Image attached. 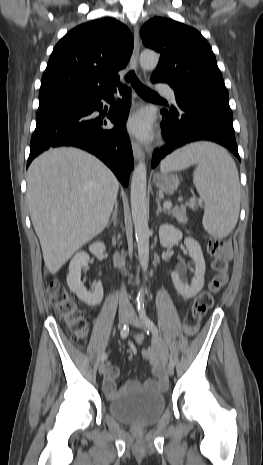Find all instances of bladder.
Returning <instances> with one entry per match:
<instances>
[{"label":"bladder","instance_id":"31cf9c89","mask_svg":"<svg viewBox=\"0 0 263 465\" xmlns=\"http://www.w3.org/2000/svg\"><path fill=\"white\" fill-rule=\"evenodd\" d=\"M166 406L162 393L140 388L124 392L108 403V413L116 421L134 427H149L160 419Z\"/></svg>","mask_w":263,"mask_h":465}]
</instances>
